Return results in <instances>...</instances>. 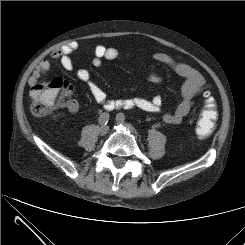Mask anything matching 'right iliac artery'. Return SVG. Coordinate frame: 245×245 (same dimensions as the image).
Listing matches in <instances>:
<instances>
[{
	"label": "right iliac artery",
	"mask_w": 245,
	"mask_h": 245,
	"mask_svg": "<svg viewBox=\"0 0 245 245\" xmlns=\"http://www.w3.org/2000/svg\"><path fill=\"white\" fill-rule=\"evenodd\" d=\"M109 118H110L109 114L107 112H104L100 115L98 122L101 125H106L109 121Z\"/></svg>",
	"instance_id": "right-iliac-artery-1"
}]
</instances>
